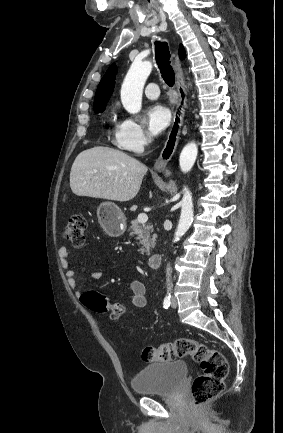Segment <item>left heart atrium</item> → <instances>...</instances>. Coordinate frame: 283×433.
<instances>
[{
    "label": "left heart atrium",
    "mask_w": 283,
    "mask_h": 433,
    "mask_svg": "<svg viewBox=\"0 0 283 433\" xmlns=\"http://www.w3.org/2000/svg\"><path fill=\"white\" fill-rule=\"evenodd\" d=\"M170 122V112L162 105H154L148 111V128L153 135H160Z\"/></svg>",
    "instance_id": "39dd6f15"
}]
</instances>
